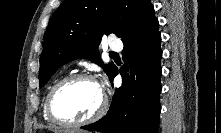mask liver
Listing matches in <instances>:
<instances>
[{"label": "liver", "instance_id": "1", "mask_svg": "<svg viewBox=\"0 0 221 133\" xmlns=\"http://www.w3.org/2000/svg\"><path fill=\"white\" fill-rule=\"evenodd\" d=\"M58 133H73L72 131H59Z\"/></svg>", "mask_w": 221, "mask_h": 133}]
</instances>
